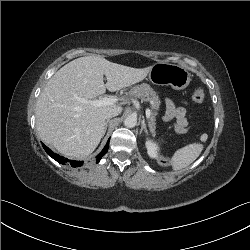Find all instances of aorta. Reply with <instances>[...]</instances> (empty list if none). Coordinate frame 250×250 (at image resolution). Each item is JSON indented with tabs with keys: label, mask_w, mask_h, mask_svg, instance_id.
Segmentation results:
<instances>
[{
	"label": "aorta",
	"mask_w": 250,
	"mask_h": 250,
	"mask_svg": "<svg viewBox=\"0 0 250 250\" xmlns=\"http://www.w3.org/2000/svg\"><path fill=\"white\" fill-rule=\"evenodd\" d=\"M137 124V118L135 116H128L124 120V125L128 128H133Z\"/></svg>",
	"instance_id": "762f6f07"
}]
</instances>
